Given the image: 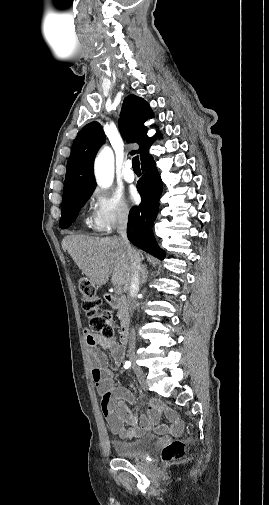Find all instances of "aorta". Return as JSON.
I'll return each instance as SVG.
<instances>
[{
    "label": "aorta",
    "instance_id": "1",
    "mask_svg": "<svg viewBox=\"0 0 269 505\" xmlns=\"http://www.w3.org/2000/svg\"><path fill=\"white\" fill-rule=\"evenodd\" d=\"M94 173L101 188H109L114 180V154L109 147L103 148L95 159Z\"/></svg>",
    "mask_w": 269,
    "mask_h": 505
}]
</instances>
